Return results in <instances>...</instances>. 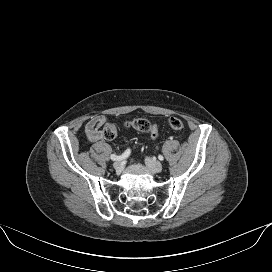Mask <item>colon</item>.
Returning <instances> with one entry per match:
<instances>
[{
  "label": "colon",
  "instance_id": "colon-1",
  "mask_svg": "<svg viewBox=\"0 0 272 272\" xmlns=\"http://www.w3.org/2000/svg\"><path fill=\"white\" fill-rule=\"evenodd\" d=\"M126 126L136 131L147 133L153 139H157L159 137L158 126L154 123H151L150 121L146 119H143V118L134 119L132 121L127 122ZM169 126L171 127V129L175 131H181L184 129L183 121L177 117L170 118ZM117 133H118L117 126L112 123L107 124L104 128V137L106 140L115 139L117 136Z\"/></svg>",
  "mask_w": 272,
  "mask_h": 272
}]
</instances>
